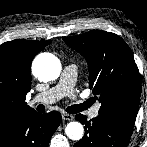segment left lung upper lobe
Masks as SVG:
<instances>
[{
  "mask_svg": "<svg viewBox=\"0 0 147 147\" xmlns=\"http://www.w3.org/2000/svg\"><path fill=\"white\" fill-rule=\"evenodd\" d=\"M64 42L84 56L89 67V86L101 103L99 117L132 134L141 80L133 54L118 35L92 30L65 37Z\"/></svg>",
  "mask_w": 147,
  "mask_h": 147,
  "instance_id": "left-lung-upper-lobe-1",
  "label": "left lung upper lobe"
}]
</instances>
